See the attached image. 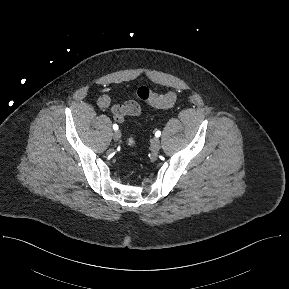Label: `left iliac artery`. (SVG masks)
<instances>
[{
	"label": "left iliac artery",
	"mask_w": 289,
	"mask_h": 289,
	"mask_svg": "<svg viewBox=\"0 0 289 289\" xmlns=\"http://www.w3.org/2000/svg\"><path fill=\"white\" fill-rule=\"evenodd\" d=\"M160 135H161V131H159V130L156 131L155 136H156V137H160Z\"/></svg>",
	"instance_id": "left-iliac-artery-1"
}]
</instances>
